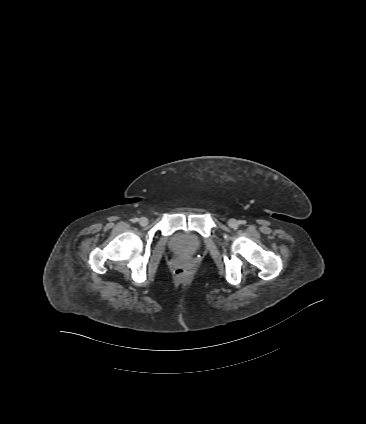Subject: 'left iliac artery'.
Here are the masks:
<instances>
[{"instance_id": "obj_1", "label": "left iliac artery", "mask_w": 366, "mask_h": 424, "mask_svg": "<svg viewBox=\"0 0 366 424\" xmlns=\"http://www.w3.org/2000/svg\"><path fill=\"white\" fill-rule=\"evenodd\" d=\"M239 223L242 224V223H244V221H240Z\"/></svg>"}]
</instances>
